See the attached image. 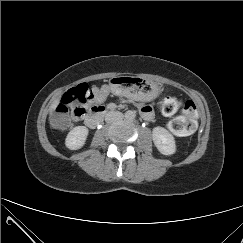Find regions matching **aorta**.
I'll return each mask as SVG.
<instances>
[{"label":"aorta","instance_id":"1","mask_svg":"<svg viewBox=\"0 0 243 243\" xmlns=\"http://www.w3.org/2000/svg\"><path fill=\"white\" fill-rule=\"evenodd\" d=\"M135 117H136V112H135V111H133V110H128V111L125 112V118H126L127 120L132 121V120L135 119Z\"/></svg>","mask_w":243,"mask_h":243}]
</instances>
